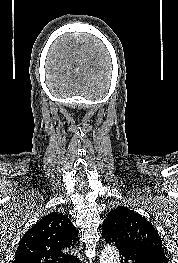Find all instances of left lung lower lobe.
<instances>
[{
  "instance_id": "1",
  "label": "left lung lower lobe",
  "mask_w": 178,
  "mask_h": 263,
  "mask_svg": "<svg viewBox=\"0 0 178 263\" xmlns=\"http://www.w3.org/2000/svg\"><path fill=\"white\" fill-rule=\"evenodd\" d=\"M102 235L109 244L118 248L121 254V263H168L164 252L155 248L135 245L116 237L109 230H102Z\"/></svg>"
}]
</instances>
